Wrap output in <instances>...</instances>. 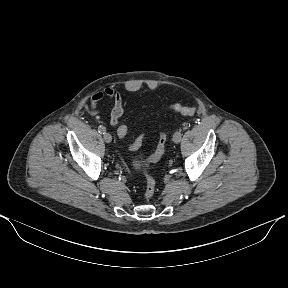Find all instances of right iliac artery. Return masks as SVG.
Masks as SVG:
<instances>
[{
  "label": "right iliac artery",
  "instance_id": "right-iliac-artery-1",
  "mask_svg": "<svg viewBox=\"0 0 288 288\" xmlns=\"http://www.w3.org/2000/svg\"><path fill=\"white\" fill-rule=\"evenodd\" d=\"M98 131H99V133L104 134L106 132V128L104 126L100 125L98 127Z\"/></svg>",
  "mask_w": 288,
  "mask_h": 288
}]
</instances>
